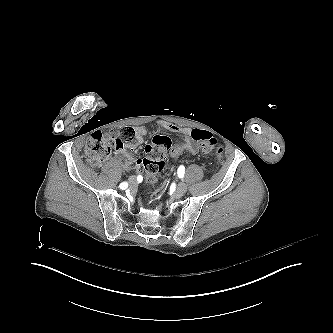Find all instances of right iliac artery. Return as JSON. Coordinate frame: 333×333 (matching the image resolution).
Returning a JSON list of instances; mask_svg holds the SVG:
<instances>
[{
	"label": "right iliac artery",
	"instance_id": "right-iliac-artery-1",
	"mask_svg": "<svg viewBox=\"0 0 333 333\" xmlns=\"http://www.w3.org/2000/svg\"><path fill=\"white\" fill-rule=\"evenodd\" d=\"M127 186H128V185H127V183H125V182L120 184V188H121V189H126Z\"/></svg>",
	"mask_w": 333,
	"mask_h": 333
}]
</instances>
